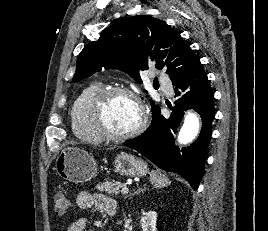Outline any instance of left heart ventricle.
<instances>
[{
    "mask_svg": "<svg viewBox=\"0 0 268 231\" xmlns=\"http://www.w3.org/2000/svg\"><path fill=\"white\" fill-rule=\"evenodd\" d=\"M105 127L113 133H125L137 126L140 110L129 97L116 95L110 97L103 110Z\"/></svg>",
    "mask_w": 268,
    "mask_h": 231,
    "instance_id": "1",
    "label": "left heart ventricle"
}]
</instances>
